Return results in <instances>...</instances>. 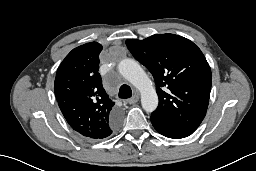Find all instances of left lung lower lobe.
<instances>
[{
	"label": "left lung lower lobe",
	"mask_w": 256,
	"mask_h": 171,
	"mask_svg": "<svg viewBox=\"0 0 256 171\" xmlns=\"http://www.w3.org/2000/svg\"><path fill=\"white\" fill-rule=\"evenodd\" d=\"M151 122H152L154 128L165 137L176 138V139L186 137L185 135L180 134L179 132L175 131L171 126H169L161 121L151 118Z\"/></svg>",
	"instance_id": "0a47b994"
}]
</instances>
